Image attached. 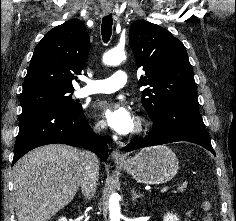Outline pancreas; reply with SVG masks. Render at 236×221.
I'll list each match as a JSON object with an SVG mask.
<instances>
[{
    "mask_svg": "<svg viewBox=\"0 0 236 221\" xmlns=\"http://www.w3.org/2000/svg\"><path fill=\"white\" fill-rule=\"evenodd\" d=\"M186 189V184H183L181 187L178 188L179 192H183Z\"/></svg>",
    "mask_w": 236,
    "mask_h": 221,
    "instance_id": "1",
    "label": "pancreas"
}]
</instances>
